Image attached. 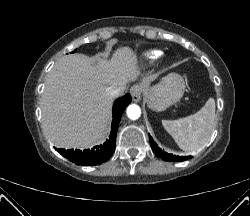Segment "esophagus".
Segmentation results:
<instances>
[{"label":"esophagus","mask_w":250,"mask_h":216,"mask_svg":"<svg viewBox=\"0 0 250 216\" xmlns=\"http://www.w3.org/2000/svg\"><path fill=\"white\" fill-rule=\"evenodd\" d=\"M130 94L132 96L133 101L138 102L141 98L142 94V86L139 84H135L130 88Z\"/></svg>","instance_id":"1"}]
</instances>
